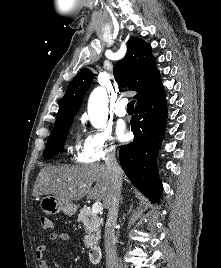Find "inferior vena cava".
<instances>
[{
    "mask_svg": "<svg viewBox=\"0 0 221 268\" xmlns=\"http://www.w3.org/2000/svg\"><path fill=\"white\" fill-rule=\"evenodd\" d=\"M105 166L110 175V202L108 205V216L105 226V253L106 268H119L118 257L116 252L115 225L118 217L119 199L121 195V168L117 163L115 151L111 150L107 153Z\"/></svg>",
    "mask_w": 221,
    "mask_h": 268,
    "instance_id": "inferior-vena-cava-1",
    "label": "inferior vena cava"
}]
</instances>
